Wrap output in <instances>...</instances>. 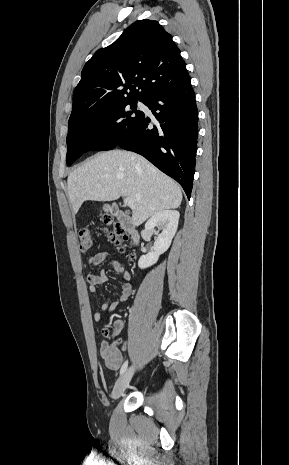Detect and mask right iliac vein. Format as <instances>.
Wrapping results in <instances>:
<instances>
[{
	"label": "right iliac vein",
	"instance_id": "right-iliac-vein-1",
	"mask_svg": "<svg viewBox=\"0 0 289 465\" xmlns=\"http://www.w3.org/2000/svg\"><path fill=\"white\" fill-rule=\"evenodd\" d=\"M134 373V366L127 369L122 376L117 380L112 391V398L114 400L119 399L128 387L130 380Z\"/></svg>",
	"mask_w": 289,
	"mask_h": 465
}]
</instances>
